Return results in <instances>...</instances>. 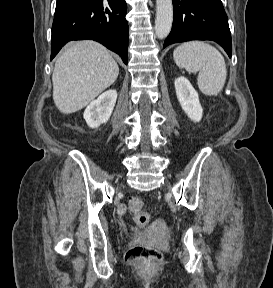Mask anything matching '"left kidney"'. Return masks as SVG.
<instances>
[{
	"mask_svg": "<svg viewBox=\"0 0 273 288\" xmlns=\"http://www.w3.org/2000/svg\"><path fill=\"white\" fill-rule=\"evenodd\" d=\"M175 90L179 103L194 122H199L202 118L203 109L199 103L197 91L193 88L189 80L183 76L175 79Z\"/></svg>",
	"mask_w": 273,
	"mask_h": 288,
	"instance_id": "left-kidney-1",
	"label": "left kidney"
}]
</instances>
